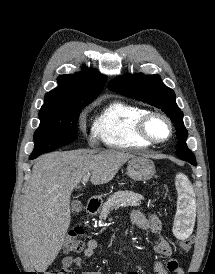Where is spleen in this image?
I'll list each match as a JSON object with an SVG mask.
<instances>
[{
	"mask_svg": "<svg viewBox=\"0 0 215 274\" xmlns=\"http://www.w3.org/2000/svg\"><path fill=\"white\" fill-rule=\"evenodd\" d=\"M176 190L178 193L177 212L174 223V234L179 239H186L190 235L188 226L196 213V200L193 187L183 173L176 175Z\"/></svg>",
	"mask_w": 215,
	"mask_h": 274,
	"instance_id": "1",
	"label": "spleen"
}]
</instances>
